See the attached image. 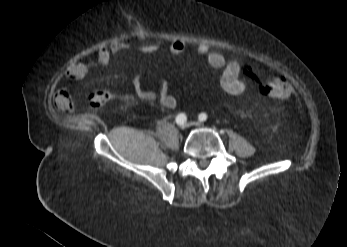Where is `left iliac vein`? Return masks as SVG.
Masks as SVG:
<instances>
[{
  "label": "left iliac vein",
  "instance_id": "obj_1",
  "mask_svg": "<svg viewBox=\"0 0 347 247\" xmlns=\"http://www.w3.org/2000/svg\"><path fill=\"white\" fill-rule=\"evenodd\" d=\"M191 125H193V126H198V127H199V126L202 125V123L199 122V121H195V122H192Z\"/></svg>",
  "mask_w": 347,
  "mask_h": 247
}]
</instances>
